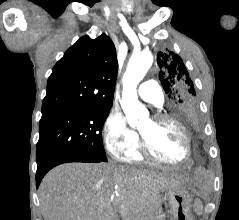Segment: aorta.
Segmentation results:
<instances>
[{
    "mask_svg": "<svg viewBox=\"0 0 239 220\" xmlns=\"http://www.w3.org/2000/svg\"><path fill=\"white\" fill-rule=\"evenodd\" d=\"M153 62L148 51L133 55L123 76V92L121 107L126 114L130 126L134 127L140 119L148 116V111L138 100L137 85L143 79Z\"/></svg>",
    "mask_w": 239,
    "mask_h": 220,
    "instance_id": "aorta-1",
    "label": "aorta"
}]
</instances>
